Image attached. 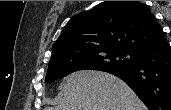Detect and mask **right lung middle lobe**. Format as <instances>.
Segmentation results:
<instances>
[{
  "mask_svg": "<svg viewBox=\"0 0 171 110\" xmlns=\"http://www.w3.org/2000/svg\"><path fill=\"white\" fill-rule=\"evenodd\" d=\"M136 52L124 48H104L51 58L45 82H52L82 69L109 71L133 65Z\"/></svg>",
  "mask_w": 171,
  "mask_h": 110,
  "instance_id": "obj_1",
  "label": "right lung middle lobe"
}]
</instances>
